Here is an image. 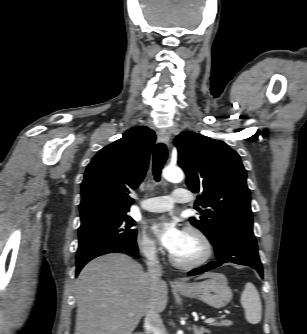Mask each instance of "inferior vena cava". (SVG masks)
I'll list each match as a JSON object with an SVG mask.
<instances>
[{"label":"inferior vena cava","mask_w":307,"mask_h":334,"mask_svg":"<svg viewBox=\"0 0 307 334\" xmlns=\"http://www.w3.org/2000/svg\"><path fill=\"white\" fill-rule=\"evenodd\" d=\"M155 247H151L148 253V273L154 282L160 280L162 276V267L156 257ZM163 328L162 319L159 313L155 310L153 305L150 306L149 310L145 315L144 329L146 334H158V332Z\"/></svg>","instance_id":"obj_1"}]
</instances>
